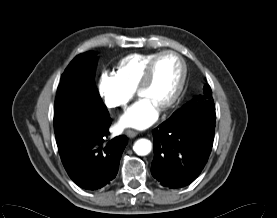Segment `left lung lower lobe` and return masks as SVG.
Segmentation results:
<instances>
[{"label":"left lung lower lobe","instance_id":"obj_1","mask_svg":"<svg viewBox=\"0 0 277 218\" xmlns=\"http://www.w3.org/2000/svg\"><path fill=\"white\" fill-rule=\"evenodd\" d=\"M215 111L170 117L153 130L151 173L161 185L179 188L204 168L214 139Z\"/></svg>","mask_w":277,"mask_h":218}]
</instances>
